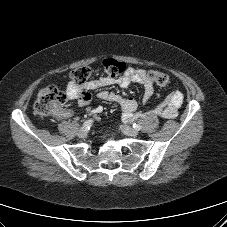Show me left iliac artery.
I'll return each mask as SVG.
<instances>
[{
    "instance_id": "44dca946",
    "label": "left iliac artery",
    "mask_w": 227,
    "mask_h": 227,
    "mask_svg": "<svg viewBox=\"0 0 227 227\" xmlns=\"http://www.w3.org/2000/svg\"><path fill=\"white\" fill-rule=\"evenodd\" d=\"M133 128L136 130H140L141 129V125L140 124H133Z\"/></svg>"
}]
</instances>
